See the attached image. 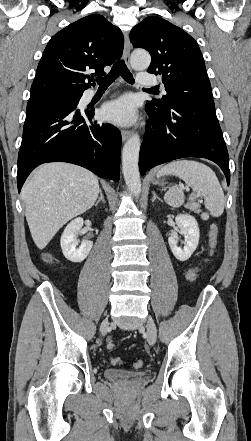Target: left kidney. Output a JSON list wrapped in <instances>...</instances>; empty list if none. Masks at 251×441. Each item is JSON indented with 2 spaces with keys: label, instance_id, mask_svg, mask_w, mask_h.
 Listing matches in <instances>:
<instances>
[{
  "label": "left kidney",
  "instance_id": "obj_1",
  "mask_svg": "<svg viewBox=\"0 0 251 441\" xmlns=\"http://www.w3.org/2000/svg\"><path fill=\"white\" fill-rule=\"evenodd\" d=\"M175 222L180 229V234L185 238L184 247H178L176 235H171L168 238V243L173 255L179 261H186L191 257L199 243L200 231L198 223L190 214H178L175 217Z\"/></svg>",
  "mask_w": 251,
  "mask_h": 441
}]
</instances>
